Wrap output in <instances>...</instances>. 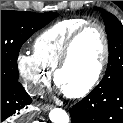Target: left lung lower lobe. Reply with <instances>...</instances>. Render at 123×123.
<instances>
[{
	"mask_svg": "<svg viewBox=\"0 0 123 123\" xmlns=\"http://www.w3.org/2000/svg\"><path fill=\"white\" fill-rule=\"evenodd\" d=\"M69 111L71 123H123V81L96 86Z\"/></svg>",
	"mask_w": 123,
	"mask_h": 123,
	"instance_id": "left-lung-lower-lobe-1",
	"label": "left lung lower lobe"
}]
</instances>
